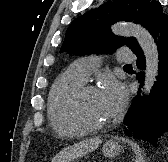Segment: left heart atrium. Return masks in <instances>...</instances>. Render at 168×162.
<instances>
[{
	"instance_id": "39dd6f15",
	"label": "left heart atrium",
	"mask_w": 168,
	"mask_h": 162,
	"mask_svg": "<svg viewBox=\"0 0 168 162\" xmlns=\"http://www.w3.org/2000/svg\"><path fill=\"white\" fill-rule=\"evenodd\" d=\"M99 96L108 119L116 116L126 102V91L121 83L113 78L105 80Z\"/></svg>"
}]
</instances>
